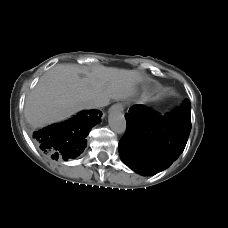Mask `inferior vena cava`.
<instances>
[{
	"label": "inferior vena cava",
	"instance_id": "obj_1",
	"mask_svg": "<svg viewBox=\"0 0 228 228\" xmlns=\"http://www.w3.org/2000/svg\"><path fill=\"white\" fill-rule=\"evenodd\" d=\"M85 106L87 109H93V108L102 107V106H104V104L102 101H99V100H88L85 103Z\"/></svg>",
	"mask_w": 228,
	"mask_h": 228
}]
</instances>
